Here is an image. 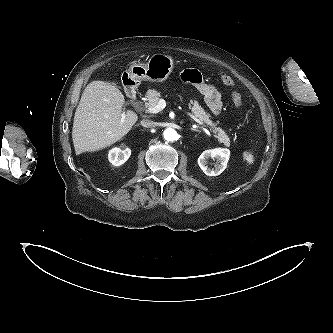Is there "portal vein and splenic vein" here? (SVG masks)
<instances>
[{"label": "portal vein and splenic vein", "mask_w": 333, "mask_h": 333, "mask_svg": "<svg viewBox=\"0 0 333 333\" xmlns=\"http://www.w3.org/2000/svg\"><path fill=\"white\" fill-rule=\"evenodd\" d=\"M166 101L164 100V99H159V102H158V104L154 107V108H150L149 109V112L150 113H158V112H160L161 110H163L165 107H166ZM179 109H181V110H183L190 118H192L195 122H197L199 125H201V126H203V127H205V129H207L206 128V125L199 119V118H197L195 115H193V114H191L190 112H188V111H186V110H184V109H182L180 106L178 107ZM124 121V118H122V121L121 122H123Z\"/></svg>", "instance_id": "18ae733b"}]
</instances>
